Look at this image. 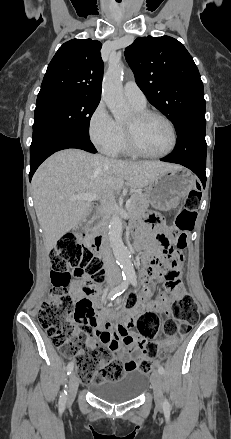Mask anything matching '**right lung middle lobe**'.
Here are the masks:
<instances>
[{"label":"right lung middle lobe","instance_id":"dd1d6c3e","mask_svg":"<svg viewBox=\"0 0 231 439\" xmlns=\"http://www.w3.org/2000/svg\"><path fill=\"white\" fill-rule=\"evenodd\" d=\"M100 100L82 96H53L37 100L32 145L50 133L71 130L89 137V123Z\"/></svg>","mask_w":231,"mask_h":439}]
</instances>
